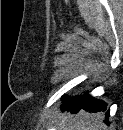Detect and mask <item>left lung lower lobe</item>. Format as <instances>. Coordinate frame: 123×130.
Masks as SVG:
<instances>
[{
	"instance_id": "obj_1",
	"label": "left lung lower lobe",
	"mask_w": 123,
	"mask_h": 130,
	"mask_svg": "<svg viewBox=\"0 0 123 130\" xmlns=\"http://www.w3.org/2000/svg\"><path fill=\"white\" fill-rule=\"evenodd\" d=\"M61 109L63 111H70L71 113H77L79 112L80 109H84L86 111L89 112H105V124L109 125V112L110 110L107 107V103L101 101V100H95L94 98H92L88 92H86L82 97H81V101L80 103L74 107V108H66V107H62Z\"/></svg>"
}]
</instances>
